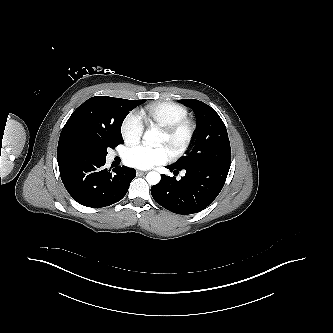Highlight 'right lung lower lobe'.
Masks as SVG:
<instances>
[{"label":"right lung lower lobe","mask_w":333,"mask_h":333,"mask_svg":"<svg viewBox=\"0 0 333 333\" xmlns=\"http://www.w3.org/2000/svg\"><path fill=\"white\" fill-rule=\"evenodd\" d=\"M105 159L77 152L58 164L66 190L78 203L106 207L126 195L136 171L125 166L107 170Z\"/></svg>","instance_id":"right-lung-lower-lobe-1"}]
</instances>
